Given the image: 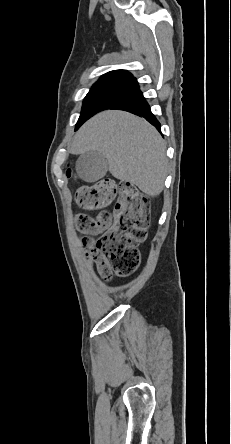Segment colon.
Returning <instances> with one entry per match:
<instances>
[{
  "label": "colon",
  "instance_id": "1",
  "mask_svg": "<svg viewBox=\"0 0 231 444\" xmlns=\"http://www.w3.org/2000/svg\"><path fill=\"white\" fill-rule=\"evenodd\" d=\"M117 195L113 180L103 179L90 186H81L75 194L76 203L83 209L97 210L94 216L80 213L75 218L77 229L107 266L103 277H126L139 266L138 246L145 241L150 222L148 197L130 184L122 186L113 218L103 208ZM98 238L94 239L93 236Z\"/></svg>",
  "mask_w": 231,
  "mask_h": 444
}]
</instances>
